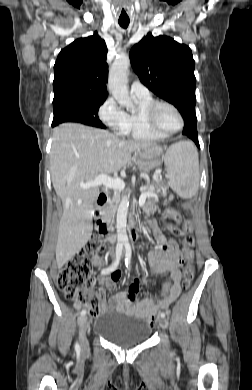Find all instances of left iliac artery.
<instances>
[{"label":"left iliac artery","mask_w":252,"mask_h":390,"mask_svg":"<svg viewBox=\"0 0 252 390\" xmlns=\"http://www.w3.org/2000/svg\"><path fill=\"white\" fill-rule=\"evenodd\" d=\"M125 264H126V267H130V264H131V255H132V252H131V246L129 243H125ZM161 317L162 318H165V313L162 312L161 314Z\"/></svg>","instance_id":"1"}]
</instances>
